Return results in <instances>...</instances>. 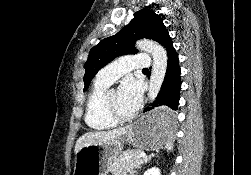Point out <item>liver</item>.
<instances>
[{
  "label": "liver",
  "instance_id": "1",
  "mask_svg": "<svg viewBox=\"0 0 251 175\" xmlns=\"http://www.w3.org/2000/svg\"><path fill=\"white\" fill-rule=\"evenodd\" d=\"M129 125L126 127H117V129H110V131H87L83 133L75 143V153H78L80 147H85L89 143H119L122 135L127 133Z\"/></svg>",
  "mask_w": 251,
  "mask_h": 175
}]
</instances>
